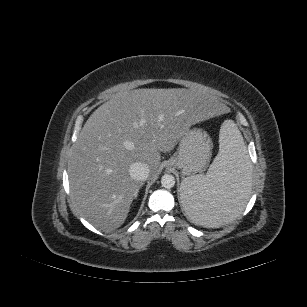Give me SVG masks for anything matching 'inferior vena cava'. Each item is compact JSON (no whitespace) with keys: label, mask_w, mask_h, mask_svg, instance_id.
Segmentation results:
<instances>
[{"label":"inferior vena cava","mask_w":307,"mask_h":307,"mask_svg":"<svg viewBox=\"0 0 307 307\" xmlns=\"http://www.w3.org/2000/svg\"><path fill=\"white\" fill-rule=\"evenodd\" d=\"M149 167L142 162H135L130 165L129 173L132 179L137 181H144L149 176Z\"/></svg>","instance_id":"1"}]
</instances>
